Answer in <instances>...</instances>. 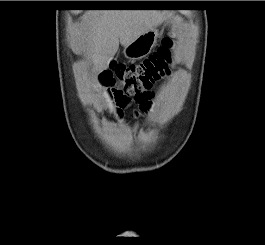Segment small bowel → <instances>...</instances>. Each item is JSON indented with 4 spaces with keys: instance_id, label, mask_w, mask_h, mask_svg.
I'll return each mask as SVG.
<instances>
[{
    "instance_id": "c3829d8e",
    "label": "small bowel",
    "mask_w": 265,
    "mask_h": 245,
    "mask_svg": "<svg viewBox=\"0 0 265 245\" xmlns=\"http://www.w3.org/2000/svg\"><path fill=\"white\" fill-rule=\"evenodd\" d=\"M147 112H148L149 114H152V113L154 112V105L151 104L150 101H149V104H148V106H147Z\"/></svg>"
}]
</instances>
